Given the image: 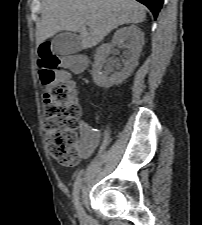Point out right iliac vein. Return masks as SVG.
<instances>
[{
    "label": "right iliac vein",
    "instance_id": "1",
    "mask_svg": "<svg viewBox=\"0 0 202 225\" xmlns=\"http://www.w3.org/2000/svg\"><path fill=\"white\" fill-rule=\"evenodd\" d=\"M77 215L81 221L86 219V213L82 207L81 202L77 203Z\"/></svg>",
    "mask_w": 202,
    "mask_h": 225
}]
</instances>
